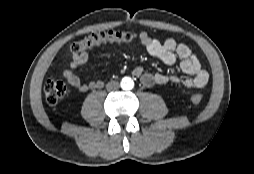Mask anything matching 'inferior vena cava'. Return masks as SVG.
Listing matches in <instances>:
<instances>
[{
    "label": "inferior vena cava",
    "instance_id": "inferior-vena-cava-1",
    "mask_svg": "<svg viewBox=\"0 0 254 174\" xmlns=\"http://www.w3.org/2000/svg\"><path fill=\"white\" fill-rule=\"evenodd\" d=\"M119 88V83L117 81H110L106 85L108 91L117 90Z\"/></svg>",
    "mask_w": 254,
    "mask_h": 174
}]
</instances>
